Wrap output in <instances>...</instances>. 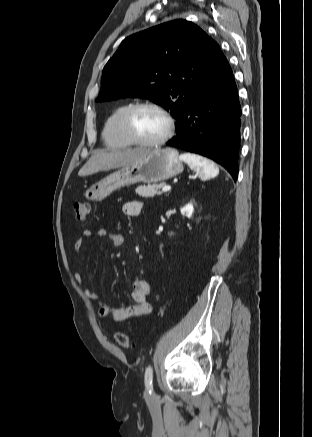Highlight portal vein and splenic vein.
<instances>
[{
  "label": "portal vein and splenic vein",
  "mask_w": 312,
  "mask_h": 437,
  "mask_svg": "<svg viewBox=\"0 0 312 437\" xmlns=\"http://www.w3.org/2000/svg\"><path fill=\"white\" fill-rule=\"evenodd\" d=\"M170 189H171L170 186H163V187H162V192H167V191H169Z\"/></svg>",
  "instance_id": "1"
}]
</instances>
